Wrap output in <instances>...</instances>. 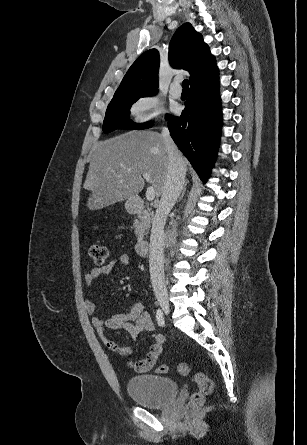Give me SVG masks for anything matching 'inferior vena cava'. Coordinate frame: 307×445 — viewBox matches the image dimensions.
Masks as SVG:
<instances>
[{
    "mask_svg": "<svg viewBox=\"0 0 307 445\" xmlns=\"http://www.w3.org/2000/svg\"><path fill=\"white\" fill-rule=\"evenodd\" d=\"M161 134L168 154V164L159 206L152 223L149 269L157 302L166 304L168 302V293L164 279V227L167 214H169L183 190L186 168L182 154L179 152L173 138H171L167 126H163Z\"/></svg>",
    "mask_w": 307,
    "mask_h": 445,
    "instance_id": "602c4592",
    "label": "inferior vena cava"
}]
</instances>
